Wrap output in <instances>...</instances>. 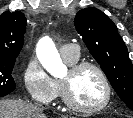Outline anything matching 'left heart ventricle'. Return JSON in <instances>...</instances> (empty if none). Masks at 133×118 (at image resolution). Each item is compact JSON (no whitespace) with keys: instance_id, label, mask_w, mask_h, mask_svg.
<instances>
[{"instance_id":"obj_1","label":"left heart ventricle","mask_w":133,"mask_h":118,"mask_svg":"<svg viewBox=\"0 0 133 118\" xmlns=\"http://www.w3.org/2000/svg\"><path fill=\"white\" fill-rule=\"evenodd\" d=\"M69 71L63 77L68 79ZM72 96L74 100L82 106L93 107L103 102L105 98V88L98 73L90 68L81 71L71 81Z\"/></svg>"}]
</instances>
